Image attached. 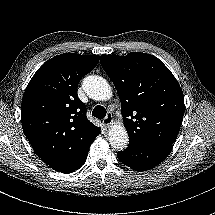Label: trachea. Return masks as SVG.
<instances>
[{
	"mask_svg": "<svg viewBox=\"0 0 215 215\" xmlns=\"http://www.w3.org/2000/svg\"><path fill=\"white\" fill-rule=\"evenodd\" d=\"M92 115L98 119H103L106 116V109L101 105H97L93 111Z\"/></svg>",
	"mask_w": 215,
	"mask_h": 215,
	"instance_id": "trachea-1",
	"label": "trachea"
}]
</instances>
